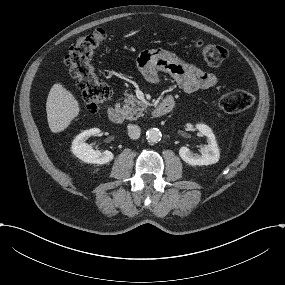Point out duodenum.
<instances>
[{
  "label": "duodenum",
  "instance_id": "duodenum-1",
  "mask_svg": "<svg viewBox=\"0 0 285 285\" xmlns=\"http://www.w3.org/2000/svg\"><path fill=\"white\" fill-rule=\"evenodd\" d=\"M174 107V99L171 96L166 97L159 105L152 110L155 117H162L171 112ZM107 115L111 122L119 124L123 120L122 113L118 106L111 105L107 110Z\"/></svg>",
  "mask_w": 285,
  "mask_h": 285
}]
</instances>
